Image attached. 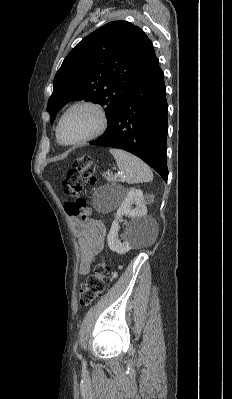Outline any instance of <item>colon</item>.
Wrapping results in <instances>:
<instances>
[{
  "instance_id": "colon-1",
  "label": "colon",
  "mask_w": 232,
  "mask_h": 399,
  "mask_svg": "<svg viewBox=\"0 0 232 399\" xmlns=\"http://www.w3.org/2000/svg\"><path fill=\"white\" fill-rule=\"evenodd\" d=\"M74 170H71V175H64L62 180L63 191H67L70 196H84L82 191L83 176H94V169L92 168L91 156H86V160L82 157L74 158ZM65 212H68L69 218H86L87 208H90V203H87V198H74V203H64ZM102 263H107V258H102V262L98 261L97 265H91L89 274L94 276L86 277V284H82L81 290V308H86L87 302H98L101 300V292L103 287H107V274L113 275V266L109 265L108 269H102Z\"/></svg>"
}]
</instances>
